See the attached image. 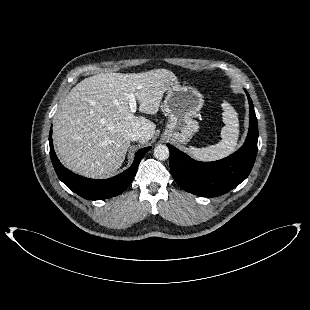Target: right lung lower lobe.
Here are the masks:
<instances>
[{"mask_svg":"<svg viewBox=\"0 0 310 310\" xmlns=\"http://www.w3.org/2000/svg\"><path fill=\"white\" fill-rule=\"evenodd\" d=\"M51 136L52 129L49 134L50 157L56 174L68 188L88 200L107 199L122 193L131 184L140 161L151 149V147H146L139 150L132 166L121 174L106 180H95L76 175L65 168L55 154Z\"/></svg>","mask_w":310,"mask_h":310,"instance_id":"obj_1","label":"right lung lower lobe"}]
</instances>
